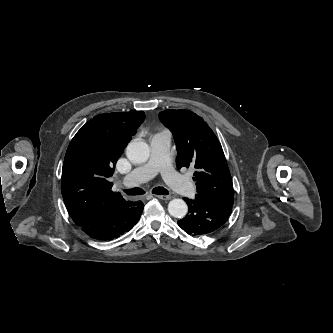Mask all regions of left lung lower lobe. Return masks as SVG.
I'll use <instances>...</instances> for the list:
<instances>
[{
	"label": "left lung lower lobe",
	"instance_id": "1",
	"mask_svg": "<svg viewBox=\"0 0 333 333\" xmlns=\"http://www.w3.org/2000/svg\"><path fill=\"white\" fill-rule=\"evenodd\" d=\"M183 199L189 211L183 219L178 221V225L192 236L217 230L227 221L232 211V207L212 204L199 196H195V199Z\"/></svg>",
	"mask_w": 333,
	"mask_h": 333
}]
</instances>
